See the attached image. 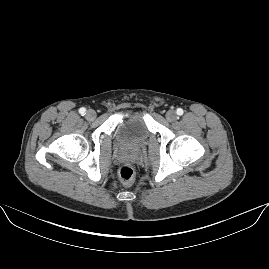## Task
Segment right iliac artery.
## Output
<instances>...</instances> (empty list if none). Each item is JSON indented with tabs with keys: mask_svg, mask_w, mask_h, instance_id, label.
Listing matches in <instances>:
<instances>
[{
	"mask_svg": "<svg viewBox=\"0 0 269 269\" xmlns=\"http://www.w3.org/2000/svg\"><path fill=\"white\" fill-rule=\"evenodd\" d=\"M79 113L82 115V116H84L85 114H86V109L85 108H80L79 109Z\"/></svg>",
	"mask_w": 269,
	"mask_h": 269,
	"instance_id": "right-iliac-artery-1",
	"label": "right iliac artery"
}]
</instances>
